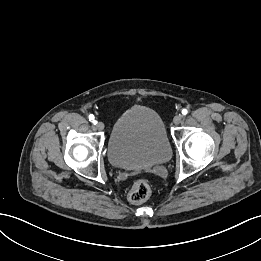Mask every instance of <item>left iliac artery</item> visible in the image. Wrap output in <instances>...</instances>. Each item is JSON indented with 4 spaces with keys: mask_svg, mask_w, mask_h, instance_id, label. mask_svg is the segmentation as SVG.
<instances>
[{
    "mask_svg": "<svg viewBox=\"0 0 261 261\" xmlns=\"http://www.w3.org/2000/svg\"><path fill=\"white\" fill-rule=\"evenodd\" d=\"M187 113H188V110H187V109H183V110H182V114H183V115H186Z\"/></svg>",
    "mask_w": 261,
    "mask_h": 261,
    "instance_id": "left-iliac-artery-1",
    "label": "left iliac artery"
}]
</instances>
